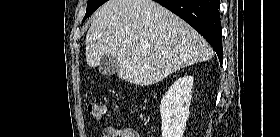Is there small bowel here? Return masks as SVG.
Wrapping results in <instances>:
<instances>
[{
    "label": "small bowel",
    "mask_w": 280,
    "mask_h": 137,
    "mask_svg": "<svg viewBox=\"0 0 280 137\" xmlns=\"http://www.w3.org/2000/svg\"><path fill=\"white\" fill-rule=\"evenodd\" d=\"M103 137H138V134L131 128L117 130L109 126L103 130Z\"/></svg>",
    "instance_id": "obj_1"
}]
</instances>
